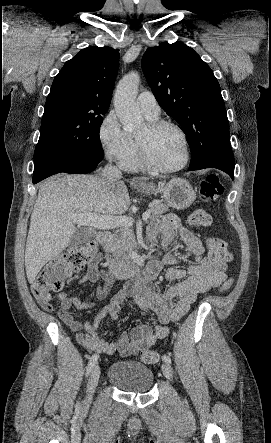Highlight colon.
Here are the masks:
<instances>
[{"label":"colon","mask_w":271,"mask_h":443,"mask_svg":"<svg viewBox=\"0 0 271 443\" xmlns=\"http://www.w3.org/2000/svg\"><path fill=\"white\" fill-rule=\"evenodd\" d=\"M200 197L204 202H215L223 192V187L216 175H209L200 183ZM189 222L194 227H208L212 224V217L202 208L193 211ZM210 256L229 262L232 259L229 243L219 237H211L207 240ZM97 257V246L94 242H86L82 245L72 247L61 256L51 260L40 271L32 283V292L35 297L40 298L50 295L51 292L59 291L71 276L80 271ZM233 280L229 278L220 286V292L224 293L231 289ZM140 359L146 364H154L159 361V353L155 351H144Z\"/></svg>","instance_id":"1"}]
</instances>
